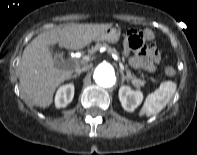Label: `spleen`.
Segmentation results:
<instances>
[{
  "mask_svg": "<svg viewBox=\"0 0 197 155\" xmlns=\"http://www.w3.org/2000/svg\"><path fill=\"white\" fill-rule=\"evenodd\" d=\"M176 88V83L172 81L162 82L158 89L147 95L139 115L152 116L159 113L169 103Z\"/></svg>",
  "mask_w": 197,
  "mask_h": 155,
  "instance_id": "1",
  "label": "spleen"
}]
</instances>
